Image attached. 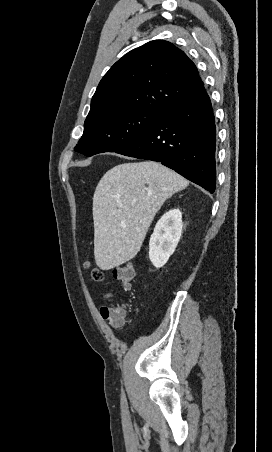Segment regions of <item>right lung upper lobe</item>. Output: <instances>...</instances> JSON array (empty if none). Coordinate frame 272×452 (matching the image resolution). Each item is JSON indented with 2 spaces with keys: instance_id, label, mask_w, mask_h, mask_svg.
Masks as SVG:
<instances>
[{
  "instance_id": "cb5924a9",
  "label": "right lung upper lobe",
  "mask_w": 272,
  "mask_h": 452,
  "mask_svg": "<svg viewBox=\"0 0 272 452\" xmlns=\"http://www.w3.org/2000/svg\"><path fill=\"white\" fill-rule=\"evenodd\" d=\"M203 87L195 64L172 43L155 40L124 55L100 81L86 118L129 110L166 112Z\"/></svg>"
}]
</instances>
